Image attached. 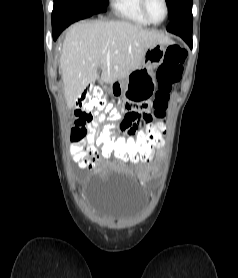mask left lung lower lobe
<instances>
[{"label": "left lung lower lobe", "mask_w": 238, "mask_h": 278, "mask_svg": "<svg viewBox=\"0 0 238 278\" xmlns=\"http://www.w3.org/2000/svg\"><path fill=\"white\" fill-rule=\"evenodd\" d=\"M192 3H186L170 20L167 30L184 39L192 47Z\"/></svg>", "instance_id": "1"}]
</instances>
